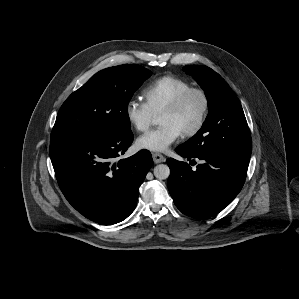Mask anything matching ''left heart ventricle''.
<instances>
[{"mask_svg":"<svg viewBox=\"0 0 299 299\" xmlns=\"http://www.w3.org/2000/svg\"><path fill=\"white\" fill-rule=\"evenodd\" d=\"M202 109V101L198 95H193L188 99L180 111L176 113H162L159 119L160 124H172L181 132L191 127L197 121Z\"/></svg>","mask_w":299,"mask_h":299,"instance_id":"left-heart-ventricle-1","label":"left heart ventricle"}]
</instances>
